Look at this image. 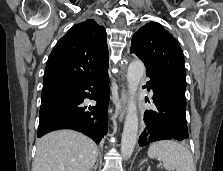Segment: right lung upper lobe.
<instances>
[{
  "label": "right lung upper lobe",
  "instance_id": "1",
  "mask_svg": "<svg viewBox=\"0 0 223 171\" xmlns=\"http://www.w3.org/2000/svg\"><path fill=\"white\" fill-rule=\"evenodd\" d=\"M107 68L105 28L87 19L71 27L52 50L46 64L42 95L82 85Z\"/></svg>",
  "mask_w": 223,
  "mask_h": 171
}]
</instances>
